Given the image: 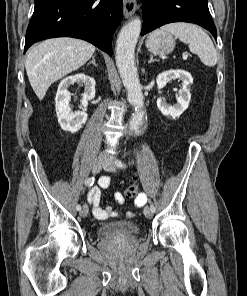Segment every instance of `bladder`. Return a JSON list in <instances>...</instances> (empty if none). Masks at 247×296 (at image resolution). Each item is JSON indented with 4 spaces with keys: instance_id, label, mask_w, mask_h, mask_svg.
Here are the masks:
<instances>
[{
    "instance_id": "bladder-1",
    "label": "bladder",
    "mask_w": 247,
    "mask_h": 296,
    "mask_svg": "<svg viewBox=\"0 0 247 296\" xmlns=\"http://www.w3.org/2000/svg\"><path fill=\"white\" fill-rule=\"evenodd\" d=\"M139 226L132 221L106 223L97 229V233L105 238H123L138 234Z\"/></svg>"
}]
</instances>
